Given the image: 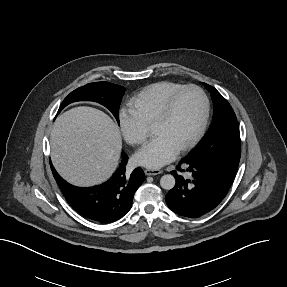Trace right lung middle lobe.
<instances>
[{"instance_id": "obj_1", "label": "right lung middle lobe", "mask_w": 287, "mask_h": 287, "mask_svg": "<svg viewBox=\"0 0 287 287\" xmlns=\"http://www.w3.org/2000/svg\"><path fill=\"white\" fill-rule=\"evenodd\" d=\"M125 88L109 82L89 83L71 92L62 102L58 113L75 101H94L109 109L119 123V106Z\"/></svg>"}]
</instances>
